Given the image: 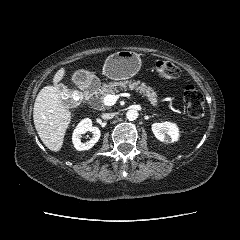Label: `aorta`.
<instances>
[{
	"label": "aorta",
	"mask_w": 240,
	"mask_h": 240,
	"mask_svg": "<svg viewBox=\"0 0 240 240\" xmlns=\"http://www.w3.org/2000/svg\"><path fill=\"white\" fill-rule=\"evenodd\" d=\"M126 117L128 120L134 121L138 118V111L134 109L128 110L126 113Z\"/></svg>",
	"instance_id": "aorta-1"
}]
</instances>
